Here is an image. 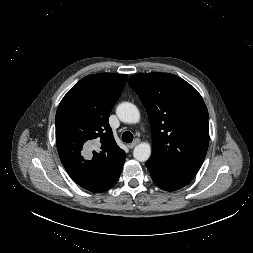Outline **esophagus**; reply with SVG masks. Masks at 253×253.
Instances as JSON below:
<instances>
[{"mask_svg": "<svg viewBox=\"0 0 253 253\" xmlns=\"http://www.w3.org/2000/svg\"><path fill=\"white\" fill-rule=\"evenodd\" d=\"M140 140L139 139H135L131 144H129V148H134L137 144H139Z\"/></svg>", "mask_w": 253, "mask_h": 253, "instance_id": "1", "label": "esophagus"}]
</instances>
